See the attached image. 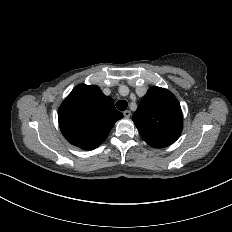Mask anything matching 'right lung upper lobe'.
Wrapping results in <instances>:
<instances>
[{
	"label": "right lung upper lobe",
	"mask_w": 232,
	"mask_h": 232,
	"mask_svg": "<svg viewBox=\"0 0 232 232\" xmlns=\"http://www.w3.org/2000/svg\"><path fill=\"white\" fill-rule=\"evenodd\" d=\"M123 114L96 85H77L58 110L62 134L74 146L92 150L107 138Z\"/></svg>",
	"instance_id": "obj_1"
}]
</instances>
